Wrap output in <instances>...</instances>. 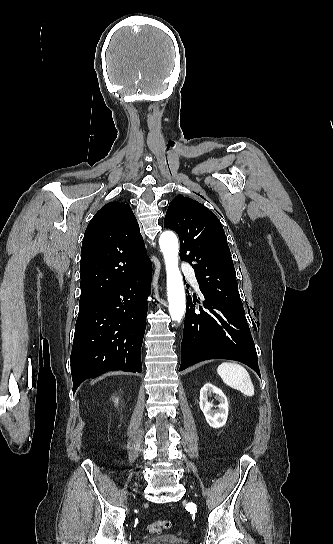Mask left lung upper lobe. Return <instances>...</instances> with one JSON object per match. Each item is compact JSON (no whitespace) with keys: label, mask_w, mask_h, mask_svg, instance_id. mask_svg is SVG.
Listing matches in <instances>:
<instances>
[{"label":"left lung upper lobe","mask_w":333,"mask_h":544,"mask_svg":"<svg viewBox=\"0 0 333 544\" xmlns=\"http://www.w3.org/2000/svg\"><path fill=\"white\" fill-rule=\"evenodd\" d=\"M164 226L178 233L180 258L194 268L199 288L245 314L230 249L217 216L199 202L177 195L169 204Z\"/></svg>","instance_id":"1"}]
</instances>
